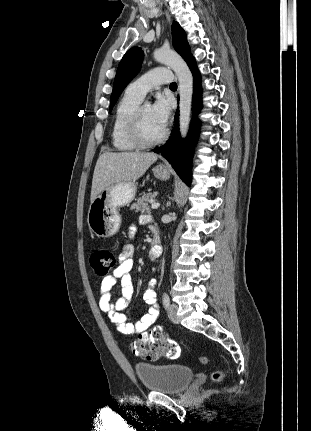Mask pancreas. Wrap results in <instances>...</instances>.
I'll use <instances>...</instances> for the list:
<instances>
[{"label":"pancreas","instance_id":"cf45deb5","mask_svg":"<svg viewBox=\"0 0 311 431\" xmlns=\"http://www.w3.org/2000/svg\"><path fill=\"white\" fill-rule=\"evenodd\" d=\"M155 196H157L156 192H154V194H144V196L136 200L135 204L130 206V210H134V212H143V214L151 212V210H149V202L153 200Z\"/></svg>","mask_w":311,"mask_h":431}]
</instances>
